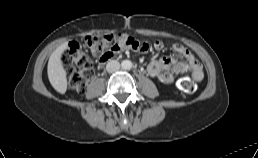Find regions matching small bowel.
Instances as JSON below:
<instances>
[{
  "instance_id": "c3829d8e",
  "label": "small bowel",
  "mask_w": 258,
  "mask_h": 158,
  "mask_svg": "<svg viewBox=\"0 0 258 158\" xmlns=\"http://www.w3.org/2000/svg\"><path fill=\"white\" fill-rule=\"evenodd\" d=\"M163 48V42L156 41L153 44L149 42L139 43L137 47L132 49L139 53L146 54L149 53L152 49H155L156 51H162ZM173 49L185 59V62H179L173 57H162L149 63L147 66L148 74L152 77H156L163 84L173 83L177 74L185 72H191L193 78L196 81L202 80L203 69L194 55L181 44H174ZM109 59L99 60V62L105 63Z\"/></svg>"
}]
</instances>
